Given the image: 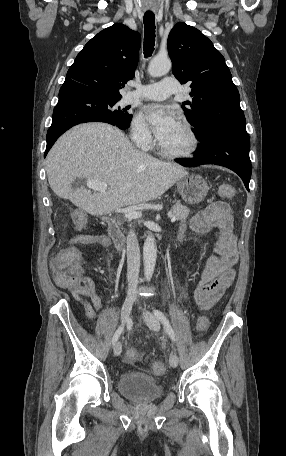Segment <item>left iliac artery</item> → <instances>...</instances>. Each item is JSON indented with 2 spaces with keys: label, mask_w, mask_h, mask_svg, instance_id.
<instances>
[{
  "label": "left iliac artery",
  "mask_w": 286,
  "mask_h": 456,
  "mask_svg": "<svg viewBox=\"0 0 286 456\" xmlns=\"http://www.w3.org/2000/svg\"><path fill=\"white\" fill-rule=\"evenodd\" d=\"M154 314L161 321V323L164 325L166 333L170 336L172 341H175L174 330L172 329V327H171V325L169 323V320L167 319L165 314L163 312H161L160 310H154Z\"/></svg>",
  "instance_id": "1"
}]
</instances>
